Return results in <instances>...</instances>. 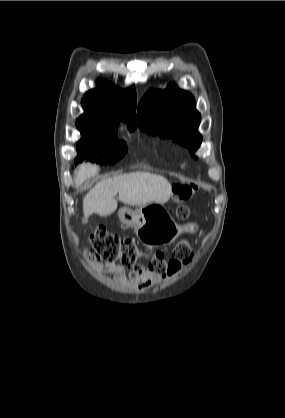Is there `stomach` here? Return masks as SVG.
<instances>
[{"instance_id":"0dacf381","label":"stomach","mask_w":285,"mask_h":418,"mask_svg":"<svg viewBox=\"0 0 285 418\" xmlns=\"http://www.w3.org/2000/svg\"><path fill=\"white\" fill-rule=\"evenodd\" d=\"M120 221L136 230V235L145 244L158 245L174 241L181 233H195L196 223L178 225L168 213L157 204L143 206L138 211L121 208L118 212Z\"/></svg>"}]
</instances>
